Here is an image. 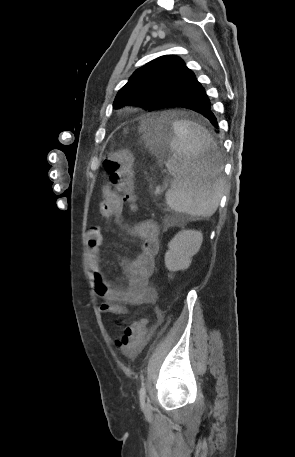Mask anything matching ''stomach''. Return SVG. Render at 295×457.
Returning a JSON list of instances; mask_svg holds the SVG:
<instances>
[{"instance_id":"0dacf381","label":"stomach","mask_w":295,"mask_h":457,"mask_svg":"<svg viewBox=\"0 0 295 457\" xmlns=\"http://www.w3.org/2000/svg\"><path fill=\"white\" fill-rule=\"evenodd\" d=\"M142 132L145 141L149 145H162L166 152L170 153L171 142L175 140L173 122L166 119L153 120V117L148 118L142 125Z\"/></svg>"}]
</instances>
